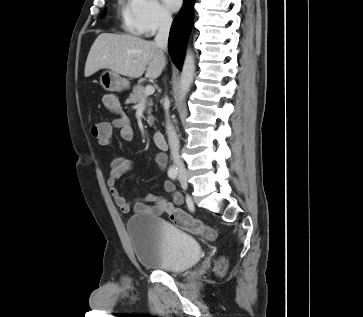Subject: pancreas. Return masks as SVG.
Segmentation results:
<instances>
[{"instance_id": "cf45deb5", "label": "pancreas", "mask_w": 363, "mask_h": 317, "mask_svg": "<svg viewBox=\"0 0 363 317\" xmlns=\"http://www.w3.org/2000/svg\"><path fill=\"white\" fill-rule=\"evenodd\" d=\"M141 101L145 102L146 107H151L153 105L152 103V99H150L148 96L145 95V88L142 85H136L135 87H133V91L130 94L129 98H128V102L131 103H139ZM148 124L150 126L153 125V121L154 118L151 115V108L148 109Z\"/></svg>"}]
</instances>
